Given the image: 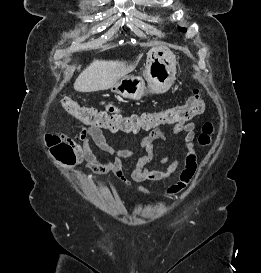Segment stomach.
<instances>
[{
  "label": "stomach",
  "instance_id": "0dacf381",
  "mask_svg": "<svg viewBox=\"0 0 261 273\" xmlns=\"http://www.w3.org/2000/svg\"><path fill=\"white\" fill-rule=\"evenodd\" d=\"M175 74V55L167 47H153L147 53L144 77L126 75L113 85L112 90L124 98L139 100L148 93L167 92L175 81Z\"/></svg>",
  "mask_w": 261,
  "mask_h": 273
}]
</instances>
